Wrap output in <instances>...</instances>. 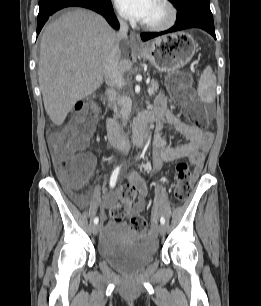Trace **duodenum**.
<instances>
[{"label":"duodenum","mask_w":261,"mask_h":306,"mask_svg":"<svg viewBox=\"0 0 261 306\" xmlns=\"http://www.w3.org/2000/svg\"><path fill=\"white\" fill-rule=\"evenodd\" d=\"M107 97L110 104H112L115 101L116 93L114 91H109ZM154 119V115L150 112H147L141 114L134 120L133 137L136 141V144H140L143 141L145 137V129L147 125L154 121ZM106 127L110 142L122 150H127L129 148V141L127 135L117 120L110 116L106 121Z\"/></svg>","instance_id":"duodenum-1"}]
</instances>
